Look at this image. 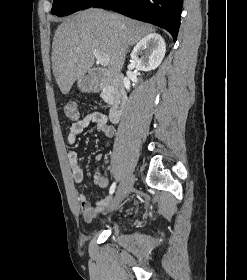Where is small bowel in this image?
Wrapping results in <instances>:
<instances>
[{"mask_svg":"<svg viewBox=\"0 0 247 280\" xmlns=\"http://www.w3.org/2000/svg\"><path fill=\"white\" fill-rule=\"evenodd\" d=\"M90 125H92L97 132L103 133L107 138H113L115 136V128L108 123L107 117L102 113L94 112L72 123L67 136L68 145L74 146L77 136ZM95 159L96 161H101L102 155L97 154ZM68 161L73 180L77 183L81 182L83 180L84 173L78 154L75 151H70L68 153ZM94 183L101 188H106L108 186V179L104 176L100 169L95 170ZM77 199L85 221H92L98 214L111 207L113 203L112 198L105 197L100 199L95 206H92L87 200V197L82 193L78 195Z\"/></svg>","mask_w":247,"mask_h":280,"instance_id":"small-bowel-1","label":"small bowel"}]
</instances>
